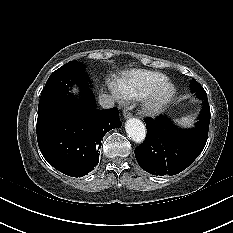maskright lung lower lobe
I'll use <instances>...</instances> for the list:
<instances>
[{"label":"right lung lower lobe","instance_id":"obj_1","mask_svg":"<svg viewBox=\"0 0 233 233\" xmlns=\"http://www.w3.org/2000/svg\"><path fill=\"white\" fill-rule=\"evenodd\" d=\"M119 127L118 109H97L86 86L81 88L79 99L71 97L67 107L38 117L36 131L47 162L66 175L82 177L98 164L104 135Z\"/></svg>","mask_w":233,"mask_h":233}]
</instances>
